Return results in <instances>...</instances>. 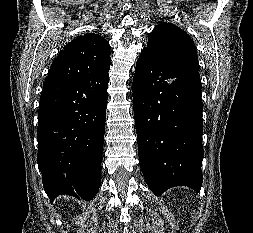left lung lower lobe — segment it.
I'll use <instances>...</instances> for the list:
<instances>
[{
	"label": "left lung lower lobe",
	"mask_w": 253,
	"mask_h": 233,
	"mask_svg": "<svg viewBox=\"0 0 253 233\" xmlns=\"http://www.w3.org/2000/svg\"><path fill=\"white\" fill-rule=\"evenodd\" d=\"M140 167L160 196L175 186H202V100L199 70L173 68L144 48L132 84Z\"/></svg>",
	"instance_id": "1"
}]
</instances>
